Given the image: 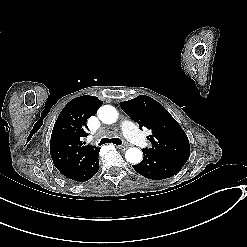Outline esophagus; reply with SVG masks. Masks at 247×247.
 <instances>
[{"label":"esophagus","instance_id":"esophagus-1","mask_svg":"<svg viewBox=\"0 0 247 247\" xmlns=\"http://www.w3.org/2000/svg\"><path fill=\"white\" fill-rule=\"evenodd\" d=\"M117 148L120 149V150H122V151H124V150L127 149V147H125V146H118Z\"/></svg>","mask_w":247,"mask_h":247}]
</instances>
